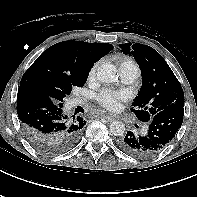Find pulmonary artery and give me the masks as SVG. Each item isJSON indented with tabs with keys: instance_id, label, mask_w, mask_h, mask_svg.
Returning a JSON list of instances; mask_svg holds the SVG:
<instances>
[{
	"instance_id": "obj_1",
	"label": "pulmonary artery",
	"mask_w": 197,
	"mask_h": 197,
	"mask_svg": "<svg viewBox=\"0 0 197 197\" xmlns=\"http://www.w3.org/2000/svg\"><path fill=\"white\" fill-rule=\"evenodd\" d=\"M120 76L124 83H132L138 76H139V70L135 67H122L120 68ZM84 102L83 99L76 98L73 100L72 105L82 104ZM147 128L143 129V132L145 133Z\"/></svg>"
}]
</instances>
